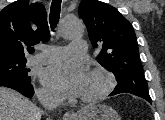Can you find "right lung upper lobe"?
Returning a JSON list of instances; mask_svg holds the SVG:
<instances>
[{"mask_svg":"<svg viewBox=\"0 0 165 120\" xmlns=\"http://www.w3.org/2000/svg\"><path fill=\"white\" fill-rule=\"evenodd\" d=\"M50 37L46 10L41 3L18 0L0 12V60L25 58L32 45Z\"/></svg>","mask_w":165,"mask_h":120,"instance_id":"cb5924a9","label":"right lung upper lobe"}]
</instances>
